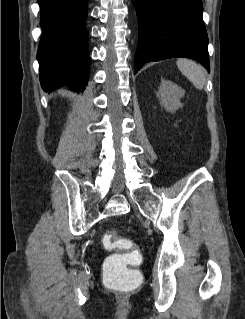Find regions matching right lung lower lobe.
Segmentation results:
<instances>
[{
	"mask_svg": "<svg viewBox=\"0 0 245 319\" xmlns=\"http://www.w3.org/2000/svg\"><path fill=\"white\" fill-rule=\"evenodd\" d=\"M87 0H38L43 34L37 60L44 91L63 85L79 92L89 74L88 32L85 28Z\"/></svg>",
	"mask_w": 245,
	"mask_h": 319,
	"instance_id": "obj_1",
	"label": "right lung lower lobe"
}]
</instances>
